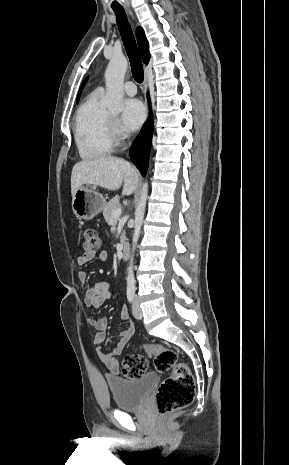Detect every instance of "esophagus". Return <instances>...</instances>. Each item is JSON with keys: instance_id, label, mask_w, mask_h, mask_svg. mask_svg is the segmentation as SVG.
Returning a JSON list of instances; mask_svg holds the SVG:
<instances>
[{"instance_id": "1", "label": "esophagus", "mask_w": 289, "mask_h": 465, "mask_svg": "<svg viewBox=\"0 0 289 465\" xmlns=\"http://www.w3.org/2000/svg\"><path fill=\"white\" fill-rule=\"evenodd\" d=\"M129 13H130L131 16H133L131 11H129ZM146 87H147V78L145 77V80H144V88L146 89ZM146 109H147V116H148V106H147V102H146Z\"/></svg>"}]
</instances>
